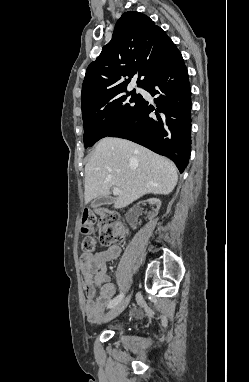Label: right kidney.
Masks as SVG:
<instances>
[{"mask_svg": "<svg viewBox=\"0 0 249 382\" xmlns=\"http://www.w3.org/2000/svg\"><path fill=\"white\" fill-rule=\"evenodd\" d=\"M153 204L156 205L154 211L150 212V218H153L158 214L161 206V201L157 198H144L143 207L142 204H133V207L127 211L126 219L127 223L130 224L131 230H136L144 221L142 217H138V214H145L146 208H151Z\"/></svg>", "mask_w": 249, "mask_h": 382, "instance_id": "1", "label": "right kidney"}]
</instances>
